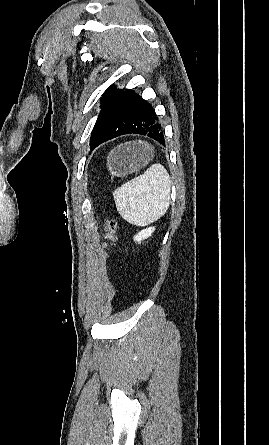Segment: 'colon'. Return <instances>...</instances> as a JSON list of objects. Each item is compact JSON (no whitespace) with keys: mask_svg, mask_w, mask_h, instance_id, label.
I'll use <instances>...</instances> for the list:
<instances>
[{"mask_svg":"<svg viewBox=\"0 0 269 445\" xmlns=\"http://www.w3.org/2000/svg\"><path fill=\"white\" fill-rule=\"evenodd\" d=\"M117 222L114 219H107L104 223L105 231V248H111L117 239Z\"/></svg>","mask_w":269,"mask_h":445,"instance_id":"obj_1","label":"colon"}]
</instances>
